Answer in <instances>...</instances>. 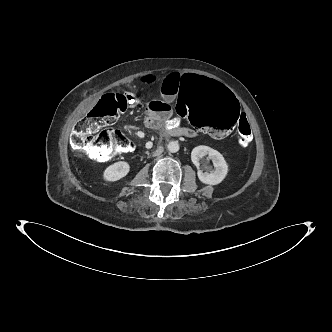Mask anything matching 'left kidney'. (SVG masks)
Here are the masks:
<instances>
[{
    "label": "left kidney",
    "mask_w": 332,
    "mask_h": 332,
    "mask_svg": "<svg viewBox=\"0 0 332 332\" xmlns=\"http://www.w3.org/2000/svg\"><path fill=\"white\" fill-rule=\"evenodd\" d=\"M208 155V158L212 160L214 170L210 171V167L204 164L203 157ZM191 160L193 164L198 168L199 180L208 185H217L221 183L228 173V164L223 155L217 150L208 146L200 145L195 147L191 152ZM203 164V169L209 172H203L200 169V165Z\"/></svg>",
    "instance_id": "5707ae66"
}]
</instances>
